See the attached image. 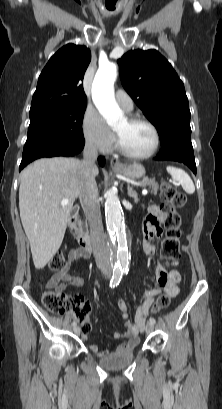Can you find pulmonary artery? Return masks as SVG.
Segmentation results:
<instances>
[{"label":"pulmonary artery","mask_w":222,"mask_h":409,"mask_svg":"<svg viewBox=\"0 0 222 409\" xmlns=\"http://www.w3.org/2000/svg\"><path fill=\"white\" fill-rule=\"evenodd\" d=\"M115 98L119 106L127 112L132 111L133 101L130 95L123 89H117L115 92Z\"/></svg>","instance_id":"pulmonary-artery-1"}]
</instances>
